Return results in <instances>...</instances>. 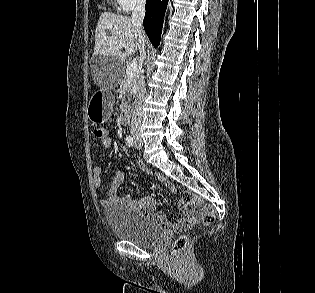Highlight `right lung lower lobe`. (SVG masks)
Here are the masks:
<instances>
[{
    "mask_svg": "<svg viewBox=\"0 0 315 293\" xmlns=\"http://www.w3.org/2000/svg\"><path fill=\"white\" fill-rule=\"evenodd\" d=\"M167 3L168 0H146L144 29L154 47H157L160 43V34Z\"/></svg>",
    "mask_w": 315,
    "mask_h": 293,
    "instance_id": "right-lung-lower-lobe-1",
    "label": "right lung lower lobe"
}]
</instances>
